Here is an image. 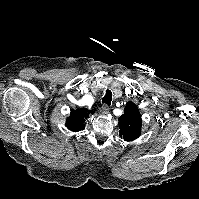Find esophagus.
<instances>
[{
	"instance_id": "obj_1",
	"label": "esophagus",
	"mask_w": 199,
	"mask_h": 199,
	"mask_svg": "<svg viewBox=\"0 0 199 199\" xmlns=\"http://www.w3.org/2000/svg\"><path fill=\"white\" fill-rule=\"evenodd\" d=\"M109 106L108 105H106V104H103L102 105V112L104 113V114H108L109 113Z\"/></svg>"
}]
</instances>
